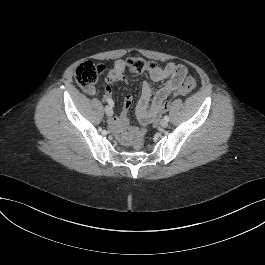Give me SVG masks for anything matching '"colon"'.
Listing matches in <instances>:
<instances>
[{"instance_id":"1","label":"colon","mask_w":265,"mask_h":265,"mask_svg":"<svg viewBox=\"0 0 265 265\" xmlns=\"http://www.w3.org/2000/svg\"><path fill=\"white\" fill-rule=\"evenodd\" d=\"M127 68L132 73H143L156 68L153 61L143 58H130L127 60ZM99 68L90 61L80 63L75 70V80L77 84L84 90L90 91L94 88L98 78ZM196 79L192 75L186 76L178 88L174 91V95H184L193 91L196 87ZM170 101H164L157 109L158 113L165 112L169 107ZM133 146L140 151L145 146V135L140 133L134 140Z\"/></svg>"}]
</instances>
